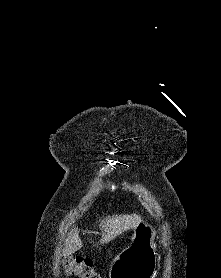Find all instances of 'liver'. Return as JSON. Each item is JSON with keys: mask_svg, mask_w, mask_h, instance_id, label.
Listing matches in <instances>:
<instances>
[{"mask_svg": "<svg viewBox=\"0 0 221 278\" xmlns=\"http://www.w3.org/2000/svg\"><path fill=\"white\" fill-rule=\"evenodd\" d=\"M141 221V217L137 214H123L107 216L100 220L101 239L100 245L109 243L122 233L135 229L138 223ZM82 248V242L78 235V228L72 229L65 241V248L63 253L65 256H69Z\"/></svg>", "mask_w": 221, "mask_h": 278, "instance_id": "1", "label": "liver"}]
</instances>
